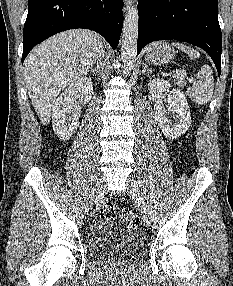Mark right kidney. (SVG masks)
<instances>
[{
	"label": "right kidney",
	"instance_id": "1",
	"mask_svg": "<svg viewBox=\"0 0 233 286\" xmlns=\"http://www.w3.org/2000/svg\"><path fill=\"white\" fill-rule=\"evenodd\" d=\"M93 94L91 79H78L56 99L53 106L52 122L55 134L63 140L69 139L79 126L80 107L74 106L79 99L81 104L89 102Z\"/></svg>",
	"mask_w": 233,
	"mask_h": 286
}]
</instances>
